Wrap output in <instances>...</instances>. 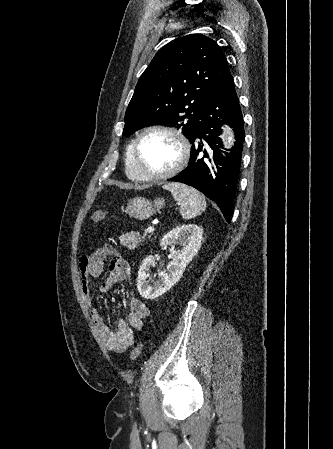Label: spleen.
Wrapping results in <instances>:
<instances>
[{"mask_svg": "<svg viewBox=\"0 0 333 449\" xmlns=\"http://www.w3.org/2000/svg\"><path fill=\"white\" fill-rule=\"evenodd\" d=\"M163 188L169 190L180 205L183 219L194 218L206 208L205 197L193 187L174 182L165 184Z\"/></svg>", "mask_w": 333, "mask_h": 449, "instance_id": "obj_1", "label": "spleen"}]
</instances>
